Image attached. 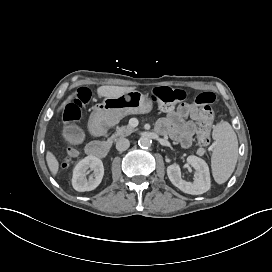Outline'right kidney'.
I'll return each instance as SVG.
<instances>
[{
	"label": "right kidney",
	"mask_w": 272,
	"mask_h": 272,
	"mask_svg": "<svg viewBox=\"0 0 272 272\" xmlns=\"http://www.w3.org/2000/svg\"><path fill=\"white\" fill-rule=\"evenodd\" d=\"M93 173L87 179V171ZM104 166L102 161L95 156H87L73 169L72 186L78 192L94 190L102 181Z\"/></svg>",
	"instance_id": "right-kidney-1"
}]
</instances>
